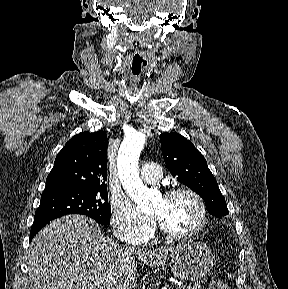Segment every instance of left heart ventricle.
Segmentation results:
<instances>
[{"instance_id":"b2bd125f","label":"left heart ventricle","mask_w":288,"mask_h":289,"mask_svg":"<svg viewBox=\"0 0 288 289\" xmlns=\"http://www.w3.org/2000/svg\"><path fill=\"white\" fill-rule=\"evenodd\" d=\"M151 216L160 220L176 233L191 230L199 220V208L188 195H180L170 200L159 198L151 211Z\"/></svg>"}]
</instances>
